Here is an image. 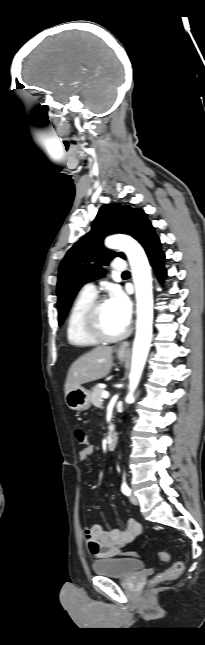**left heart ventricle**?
<instances>
[{
  "instance_id": "obj_1",
  "label": "left heart ventricle",
  "mask_w": 205,
  "mask_h": 645,
  "mask_svg": "<svg viewBox=\"0 0 205 645\" xmlns=\"http://www.w3.org/2000/svg\"><path fill=\"white\" fill-rule=\"evenodd\" d=\"M99 318L102 329L108 334H118L126 328L108 301L101 307Z\"/></svg>"
}]
</instances>
